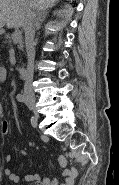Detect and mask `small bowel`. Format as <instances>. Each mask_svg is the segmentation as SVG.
<instances>
[{
	"instance_id": "obj_1",
	"label": "small bowel",
	"mask_w": 119,
	"mask_h": 185,
	"mask_svg": "<svg viewBox=\"0 0 119 185\" xmlns=\"http://www.w3.org/2000/svg\"><path fill=\"white\" fill-rule=\"evenodd\" d=\"M8 73L5 68H0V82L3 83L7 80ZM2 112V109H1ZM10 131V123L8 120H3L1 123V133L2 135H7ZM24 157L29 156L30 154L27 151H22ZM5 163H10L12 161V156L6 154L4 156ZM59 164L61 166V179H50L48 177L41 178L37 173L28 174L25 176H20L15 173L12 169L6 168L4 174L13 182L19 183L22 181L25 182H41L42 185H74V181L77 175V170L75 168L69 169L66 167V160L63 157L59 158Z\"/></svg>"
}]
</instances>
